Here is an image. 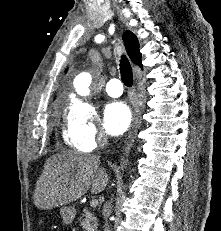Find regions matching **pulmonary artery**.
<instances>
[{
	"instance_id": "e3ab8cb5",
	"label": "pulmonary artery",
	"mask_w": 221,
	"mask_h": 231,
	"mask_svg": "<svg viewBox=\"0 0 221 231\" xmlns=\"http://www.w3.org/2000/svg\"><path fill=\"white\" fill-rule=\"evenodd\" d=\"M106 92L111 97H119L123 93V86L119 79L114 78L106 84Z\"/></svg>"
}]
</instances>
